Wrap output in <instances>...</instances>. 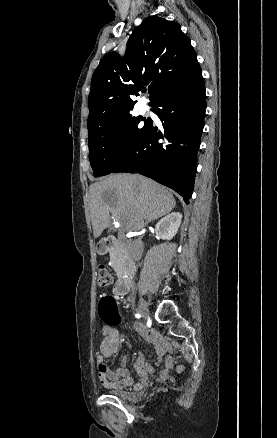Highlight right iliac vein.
<instances>
[{"label": "right iliac vein", "instance_id": "63e3f726", "mask_svg": "<svg viewBox=\"0 0 277 438\" xmlns=\"http://www.w3.org/2000/svg\"><path fill=\"white\" fill-rule=\"evenodd\" d=\"M139 311L144 315L147 316L149 314V310L148 307L146 305V303L141 299L139 301Z\"/></svg>", "mask_w": 277, "mask_h": 438}]
</instances>
